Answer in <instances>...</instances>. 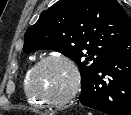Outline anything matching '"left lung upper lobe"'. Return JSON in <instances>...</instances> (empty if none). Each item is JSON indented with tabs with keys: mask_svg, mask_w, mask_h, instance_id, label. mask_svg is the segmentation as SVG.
<instances>
[{
	"mask_svg": "<svg viewBox=\"0 0 131 115\" xmlns=\"http://www.w3.org/2000/svg\"><path fill=\"white\" fill-rule=\"evenodd\" d=\"M130 31L131 21L117 0H60L27 30L24 51L55 50L74 60L82 91Z\"/></svg>",
	"mask_w": 131,
	"mask_h": 115,
	"instance_id": "1",
	"label": "left lung upper lobe"
}]
</instances>
